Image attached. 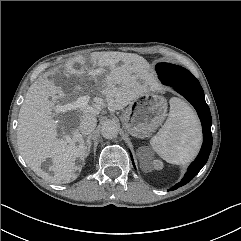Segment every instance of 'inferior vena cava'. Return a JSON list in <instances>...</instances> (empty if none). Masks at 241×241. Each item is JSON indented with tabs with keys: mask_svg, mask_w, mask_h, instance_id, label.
<instances>
[{
	"mask_svg": "<svg viewBox=\"0 0 241 241\" xmlns=\"http://www.w3.org/2000/svg\"><path fill=\"white\" fill-rule=\"evenodd\" d=\"M97 119L94 115L84 114L79 124V131L84 134H90L96 127Z\"/></svg>",
	"mask_w": 241,
	"mask_h": 241,
	"instance_id": "1",
	"label": "inferior vena cava"
}]
</instances>
